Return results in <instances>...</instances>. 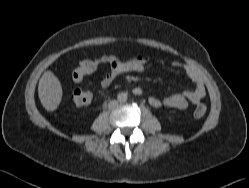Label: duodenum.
<instances>
[{
    "label": "duodenum",
    "instance_id": "410a0bca",
    "mask_svg": "<svg viewBox=\"0 0 249 188\" xmlns=\"http://www.w3.org/2000/svg\"><path fill=\"white\" fill-rule=\"evenodd\" d=\"M135 92V94H140V91H134Z\"/></svg>",
    "mask_w": 249,
    "mask_h": 188
}]
</instances>
